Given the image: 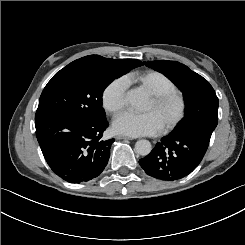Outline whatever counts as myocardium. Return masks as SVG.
<instances>
[{
    "label": "myocardium",
    "mask_w": 245,
    "mask_h": 245,
    "mask_svg": "<svg viewBox=\"0 0 245 245\" xmlns=\"http://www.w3.org/2000/svg\"><path fill=\"white\" fill-rule=\"evenodd\" d=\"M148 95L151 98L154 107L156 108H161L169 103H175L177 105L176 111L162 124L163 131L171 130L184 117L186 110V100L182 92L178 90H152L148 91Z\"/></svg>",
    "instance_id": "myocardium-1"
}]
</instances>
